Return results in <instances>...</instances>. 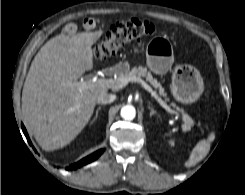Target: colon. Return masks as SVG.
Returning a JSON list of instances; mask_svg holds the SVG:
<instances>
[{
  "mask_svg": "<svg viewBox=\"0 0 245 195\" xmlns=\"http://www.w3.org/2000/svg\"><path fill=\"white\" fill-rule=\"evenodd\" d=\"M154 26L148 21L131 19L126 22L115 24L106 38L94 48V57L98 60L105 59L116 54L131 41L140 42L151 36Z\"/></svg>",
  "mask_w": 245,
  "mask_h": 195,
  "instance_id": "colon-1",
  "label": "colon"
}]
</instances>
